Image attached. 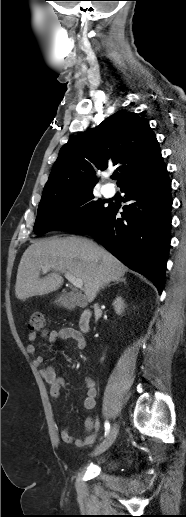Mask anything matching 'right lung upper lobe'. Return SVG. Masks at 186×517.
I'll use <instances>...</instances> for the list:
<instances>
[{
    "mask_svg": "<svg viewBox=\"0 0 186 517\" xmlns=\"http://www.w3.org/2000/svg\"><path fill=\"white\" fill-rule=\"evenodd\" d=\"M161 163L160 147L148 120L120 110L62 146L41 201L93 190L95 170L103 171L108 164L118 165V185L122 187Z\"/></svg>",
    "mask_w": 186,
    "mask_h": 517,
    "instance_id": "obj_1",
    "label": "right lung upper lobe"
}]
</instances>
